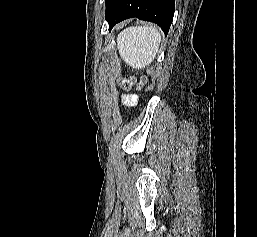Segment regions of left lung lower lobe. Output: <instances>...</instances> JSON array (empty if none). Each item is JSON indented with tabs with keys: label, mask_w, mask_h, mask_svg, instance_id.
<instances>
[{
	"label": "left lung lower lobe",
	"mask_w": 257,
	"mask_h": 237,
	"mask_svg": "<svg viewBox=\"0 0 257 237\" xmlns=\"http://www.w3.org/2000/svg\"><path fill=\"white\" fill-rule=\"evenodd\" d=\"M175 0H109L106 20L109 31L120 21L137 17L158 24L168 33L174 15Z\"/></svg>",
	"instance_id": "obj_1"
}]
</instances>
